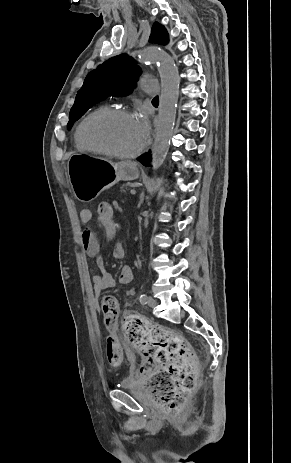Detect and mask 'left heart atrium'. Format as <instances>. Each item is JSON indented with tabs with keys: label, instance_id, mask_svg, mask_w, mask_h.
I'll return each mask as SVG.
<instances>
[{
	"label": "left heart atrium",
	"instance_id": "1",
	"mask_svg": "<svg viewBox=\"0 0 291 463\" xmlns=\"http://www.w3.org/2000/svg\"><path fill=\"white\" fill-rule=\"evenodd\" d=\"M137 127L144 139L147 138L149 134V122L148 119L144 115H140L137 118H135Z\"/></svg>",
	"mask_w": 291,
	"mask_h": 463
}]
</instances>
